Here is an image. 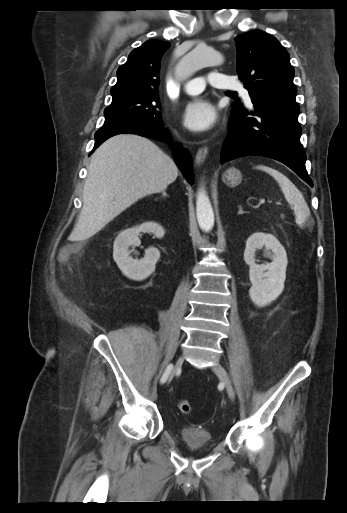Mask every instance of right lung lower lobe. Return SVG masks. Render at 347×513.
Instances as JSON below:
<instances>
[{
	"label": "right lung lower lobe",
	"mask_w": 347,
	"mask_h": 513,
	"mask_svg": "<svg viewBox=\"0 0 347 513\" xmlns=\"http://www.w3.org/2000/svg\"><path fill=\"white\" fill-rule=\"evenodd\" d=\"M121 133H132L161 140H167L169 136L168 131L163 127V122L153 124L139 119L119 120L104 124V126L95 133L93 151L109 137ZM174 157L187 181L193 183L194 176L192 174L191 160L188 151L182 146L176 145L174 147Z\"/></svg>",
	"instance_id": "1"
}]
</instances>
